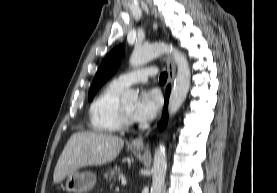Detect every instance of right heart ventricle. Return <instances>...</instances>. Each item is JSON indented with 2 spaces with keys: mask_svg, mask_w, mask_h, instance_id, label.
Segmentation results:
<instances>
[{
  "mask_svg": "<svg viewBox=\"0 0 277 193\" xmlns=\"http://www.w3.org/2000/svg\"><path fill=\"white\" fill-rule=\"evenodd\" d=\"M123 88L113 82L106 85L89 108V126L100 134H115L122 130L119 95Z\"/></svg>",
  "mask_w": 277,
  "mask_h": 193,
  "instance_id": "right-heart-ventricle-1",
  "label": "right heart ventricle"
}]
</instances>
